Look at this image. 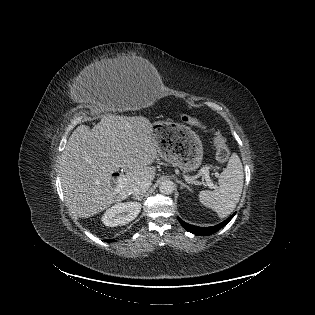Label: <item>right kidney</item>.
I'll list each match as a JSON object with an SVG mask.
<instances>
[{"label":"right kidney","instance_id":"ca27d5eb","mask_svg":"<svg viewBox=\"0 0 315 315\" xmlns=\"http://www.w3.org/2000/svg\"><path fill=\"white\" fill-rule=\"evenodd\" d=\"M141 211V204L137 202L117 203L104 213L103 223L108 227L126 225L133 221Z\"/></svg>","mask_w":315,"mask_h":315}]
</instances>
